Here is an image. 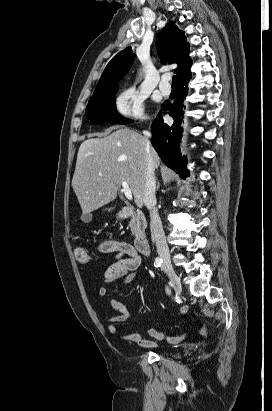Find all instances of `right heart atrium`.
<instances>
[{"instance_id":"d8ad5b80","label":"right heart atrium","mask_w":272,"mask_h":411,"mask_svg":"<svg viewBox=\"0 0 272 411\" xmlns=\"http://www.w3.org/2000/svg\"><path fill=\"white\" fill-rule=\"evenodd\" d=\"M145 98L134 87L123 89L115 100V111L123 118L143 120Z\"/></svg>"}]
</instances>
